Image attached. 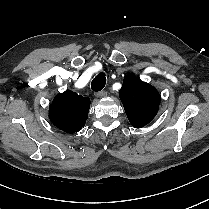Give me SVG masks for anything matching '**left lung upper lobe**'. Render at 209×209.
<instances>
[{
  "instance_id": "obj_1",
  "label": "left lung upper lobe",
  "mask_w": 209,
  "mask_h": 209,
  "mask_svg": "<svg viewBox=\"0 0 209 209\" xmlns=\"http://www.w3.org/2000/svg\"><path fill=\"white\" fill-rule=\"evenodd\" d=\"M120 99L130 123L135 128L148 124L156 116L160 105L158 91L133 74L124 77Z\"/></svg>"
}]
</instances>
